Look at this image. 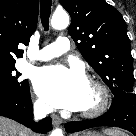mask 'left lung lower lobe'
Wrapping results in <instances>:
<instances>
[{
  "label": "left lung lower lobe",
  "mask_w": 136,
  "mask_h": 136,
  "mask_svg": "<svg viewBox=\"0 0 136 136\" xmlns=\"http://www.w3.org/2000/svg\"><path fill=\"white\" fill-rule=\"evenodd\" d=\"M98 126L119 127L136 136V94L115 95L110 109L98 118L65 124L66 131L69 133Z\"/></svg>",
  "instance_id": "0a47b994"
}]
</instances>
